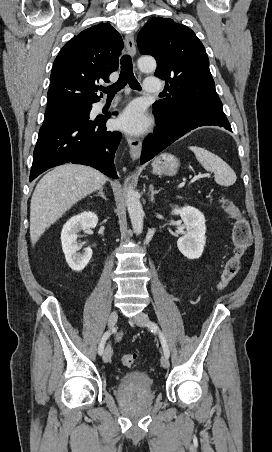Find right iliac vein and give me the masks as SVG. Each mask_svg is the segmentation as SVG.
Returning <instances> with one entry per match:
<instances>
[{
    "instance_id": "right-iliac-vein-1",
    "label": "right iliac vein",
    "mask_w": 272,
    "mask_h": 452,
    "mask_svg": "<svg viewBox=\"0 0 272 452\" xmlns=\"http://www.w3.org/2000/svg\"><path fill=\"white\" fill-rule=\"evenodd\" d=\"M117 320H118V313H117L116 310H114V311L111 312V314H110V316L108 318V327L110 329H112L115 326ZM111 355H112L111 354V349H110L109 346H107L105 348V351H104V354H103V361L105 363H109L111 361Z\"/></svg>"
}]
</instances>
